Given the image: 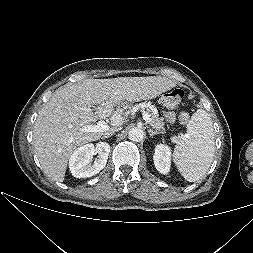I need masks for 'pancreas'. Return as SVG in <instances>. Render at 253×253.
I'll use <instances>...</instances> for the list:
<instances>
[{
	"label": "pancreas",
	"instance_id": "obj_1",
	"mask_svg": "<svg viewBox=\"0 0 253 253\" xmlns=\"http://www.w3.org/2000/svg\"><path fill=\"white\" fill-rule=\"evenodd\" d=\"M147 113L150 116V122L149 124L153 129L156 130L157 133L164 134L165 128H164V122L162 118H159L158 112H155L152 109H147Z\"/></svg>",
	"mask_w": 253,
	"mask_h": 253
}]
</instances>
